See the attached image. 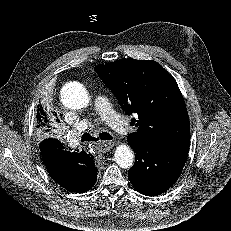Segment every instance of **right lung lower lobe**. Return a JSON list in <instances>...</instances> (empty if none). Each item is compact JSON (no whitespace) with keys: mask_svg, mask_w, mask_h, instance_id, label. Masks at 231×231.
Returning <instances> with one entry per match:
<instances>
[{"mask_svg":"<svg viewBox=\"0 0 231 231\" xmlns=\"http://www.w3.org/2000/svg\"><path fill=\"white\" fill-rule=\"evenodd\" d=\"M40 151L42 155L43 161H47L48 163H57L61 160L66 159V157H70V154H66L65 151L67 149L63 144L55 139V140H44L40 144ZM71 152V151H70ZM80 158L86 164L78 163L77 165V180L74 184H66L65 182L62 183L61 178L56 176L54 172H50L48 170L50 176L63 188L77 193H83L91 189L97 179L96 175V167L93 160V156L90 154L88 155L84 151L80 152Z\"/></svg>","mask_w":231,"mask_h":231,"instance_id":"right-lung-lower-lobe-1","label":"right lung lower lobe"}]
</instances>
